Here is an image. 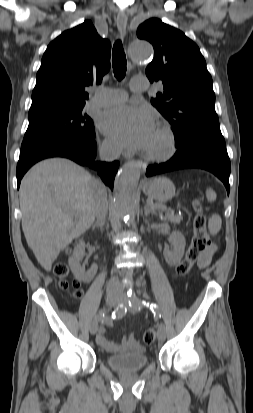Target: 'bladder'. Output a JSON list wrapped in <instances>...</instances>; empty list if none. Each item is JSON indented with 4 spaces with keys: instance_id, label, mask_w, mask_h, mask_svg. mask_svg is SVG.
I'll use <instances>...</instances> for the list:
<instances>
[{
    "instance_id": "obj_1",
    "label": "bladder",
    "mask_w": 253,
    "mask_h": 413,
    "mask_svg": "<svg viewBox=\"0 0 253 413\" xmlns=\"http://www.w3.org/2000/svg\"><path fill=\"white\" fill-rule=\"evenodd\" d=\"M107 365L116 371L131 372L141 370L148 364V358L143 349L109 355Z\"/></svg>"
}]
</instances>
